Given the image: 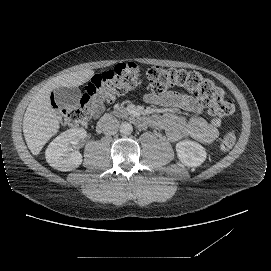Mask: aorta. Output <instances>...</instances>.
Here are the masks:
<instances>
[{
  "label": "aorta",
  "mask_w": 271,
  "mask_h": 271,
  "mask_svg": "<svg viewBox=\"0 0 271 271\" xmlns=\"http://www.w3.org/2000/svg\"><path fill=\"white\" fill-rule=\"evenodd\" d=\"M133 131V126L128 122H123L120 125V133L124 135H130Z\"/></svg>",
  "instance_id": "aorta-1"
}]
</instances>
